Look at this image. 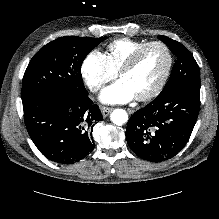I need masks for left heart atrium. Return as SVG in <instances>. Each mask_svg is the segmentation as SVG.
<instances>
[{
    "label": "left heart atrium",
    "mask_w": 219,
    "mask_h": 219,
    "mask_svg": "<svg viewBox=\"0 0 219 219\" xmlns=\"http://www.w3.org/2000/svg\"><path fill=\"white\" fill-rule=\"evenodd\" d=\"M136 97L128 83L119 79L112 85L106 87L100 95V100L107 104H122Z\"/></svg>",
    "instance_id": "1"
}]
</instances>
